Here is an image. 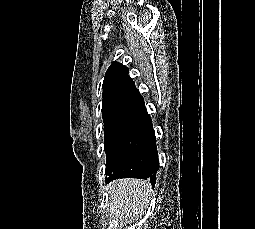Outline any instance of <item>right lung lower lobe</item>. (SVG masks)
<instances>
[{
	"label": "right lung lower lobe",
	"mask_w": 255,
	"mask_h": 229,
	"mask_svg": "<svg viewBox=\"0 0 255 229\" xmlns=\"http://www.w3.org/2000/svg\"><path fill=\"white\" fill-rule=\"evenodd\" d=\"M125 115L139 122L142 126V129L153 131L151 118L148 115L144 105L139 108L128 111ZM158 168H159L158 153L155 146L149 165L146 168H140L135 166L126 173L123 172L109 175L106 181L110 182L118 178H140V179L149 178L151 184L154 186L156 182V172Z\"/></svg>",
	"instance_id": "obj_1"
}]
</instances>
